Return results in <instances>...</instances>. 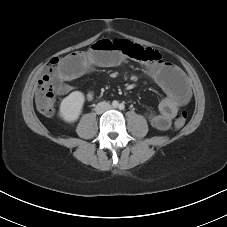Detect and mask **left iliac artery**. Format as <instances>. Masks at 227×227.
<instances>
[{
	"instance_id": "obj_1",
	"label": "left iliac artery",
	"mask_w": 227,
	"mask_h": 227,
	"mask_svg": "<svg viewBox=\"0 0 227 227\" xmlns=\"http://www.w3.org/2000/svg\"><path fill=\"white\" fill-rule=\"evenodd\" d=\"M125 108V105L123 103L119 104V109L123 110Z\"/></svg>"
}]
</instances>
